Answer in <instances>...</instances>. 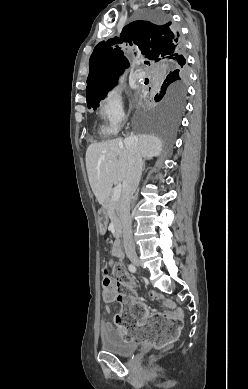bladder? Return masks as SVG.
<instances>
[{"label": "bladder", "instance_id": "1", "mask_svg": "<svg viewBox=\"0 0 248 389\" xmlns=\"http://www.w3.org/2000/svg\"><path fill=\"white\" fill-rule=\"evenodd\" d=\"M100 346L106 353L128 357L138 350L139 343L125 340L117 330H114L112 333L100 335Z\"/></svg>", "mask_w": 248, "mask_h": 389}]
</instances>
